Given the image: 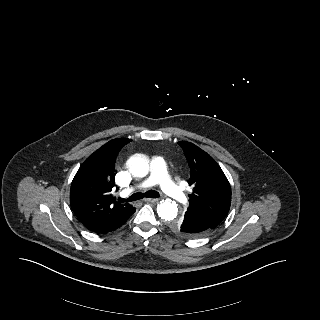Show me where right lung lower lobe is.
I'll return each instance as SVG.
<instances>
[{
    "label": "right lung lower lobe",
    "instance_id": "obj_1",
    "mask_svg": "<svg viewBox=\"0 0 320 320\" xmlns=\"http://www.w3.org/2000/svg\"><path fill=\"white\" fill-rule=\"evenodd\" d=\"M135 208H133L132 212L125 218L123 219H119L117 221L114 222H110V223H106L102 226H100L99 228L93 230V232H96L98 234H105L108 233L110 231H114L117 228H119L120 226H122L128 219L129 217L135 212Z\"/></svg>",
    "mask_w": 320,
    "mask_h": 320
}]
</instances>
